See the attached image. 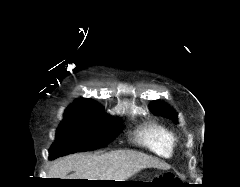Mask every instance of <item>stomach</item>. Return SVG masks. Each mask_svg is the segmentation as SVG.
<instances>
[{
	"mask_svg": "<svg viewBox=\"0 0 240 187\" xmlns=\"http://www.w3.org/2000/svg\"><path fill=\"white\" fill-rule=\"evenodd\" d=\"M119 186H134L132 183L119 184Z\"/></svg>",
	"mask_w": 240,
	"mask_h": 187,
	"instance_id": "stomach-1",
	"label": "stomach"
}]
</instances>
